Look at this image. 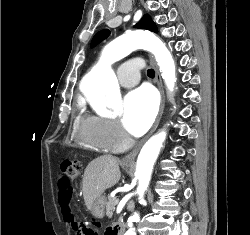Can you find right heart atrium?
Here are the masks:
<instances>
[{"mask_svg": "<svg viewBox=\"0 0 250 235\" xmlns=\"http://www.w3.org/2000/svg\"><path fill=\"white\" fill-rule=\"evenodd\" d=\"M97 134L100 140L108 147L119 150L130 143L129 136L122 127L114 120L98 118Z\"/></svg>", "mask_w": 250, "mask_h": 235, "instance_id": "obj_1", "label": "right heart atrium"}]
</instances>
